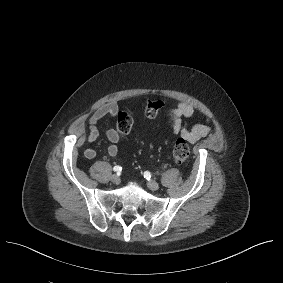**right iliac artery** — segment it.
I'll use <instances>...</instances> for the list:
<instances>
[{"label":"right iliac artery","instance_id":"1","mask_svg":"<svg viewBox=\"0 0 283 283\" xmlns=\"http://www.w3.org/2000/svg\"><path fill=\"white\" fill-rule=\"evenodd\" d=\"M113 170H114L115 172L119 173V172H121L122 167H120V166H115V167L113 168Z\"/></svg>","mask_w":283,"mask_h":283}]
</instances>
